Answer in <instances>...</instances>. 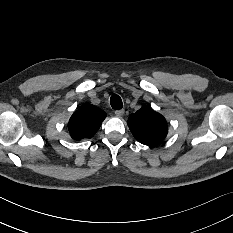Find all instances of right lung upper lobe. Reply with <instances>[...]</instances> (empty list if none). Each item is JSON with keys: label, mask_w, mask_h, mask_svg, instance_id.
I'll return each mask as SVG.
<instances>
[{"label": "right lung upper lobe", "mask_w": 233, "mask_h": 233, "mask_svg": "<svg viewBox=\"0 0 233 233\" xmlns=\"http://www.w3.org/2000/svg\"><path fill=\"white\" fill-rule=\"evenodd\" d=\"M106 114L91 104H84L69 120L68 128L71 137L80 141L91 138L100 128Z\"/></svg>", "instance_id": "1"}]
</instances>
